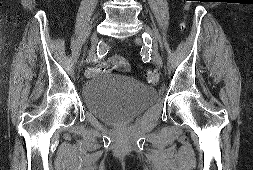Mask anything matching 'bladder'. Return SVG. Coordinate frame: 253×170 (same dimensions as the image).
<instances>
[{"label":"bladder","instance_id":"1","mask_svg":"<svg viewBox=\"0 0 253 170\" xmlns=\"http://www.w3.org/2000/svg\"><path fill=\"white\" fill-rule=\"evenodd\" d=\"M83 101L96 118L123 124L140 116L156 101V89L133 78L101 73L81 87Z\"/></svg>","mask_w":253,"mask_h":170}]
</instances>
